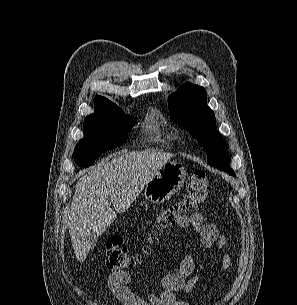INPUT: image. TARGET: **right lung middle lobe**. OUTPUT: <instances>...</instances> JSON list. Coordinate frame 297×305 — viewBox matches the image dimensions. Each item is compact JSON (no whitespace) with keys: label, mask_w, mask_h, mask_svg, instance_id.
<instances>
[{"label":"right lung middle lobe","mask_w":297,"mask_h":305,"mask_svg":"<svg viewBox=\"0 0 297 305\" xmlns=\"http://www.w3.org/2000/svg\"><path fill=\"white\" fill-rule=\"evenodd\" d=\"M134 118L125 115L119 107L108 111H95L84 121V138L76 145L73 157L81 167L94 164L103 152L125 143Z\"/></svg>","instance_id":"obj_1"}]
</instances>
